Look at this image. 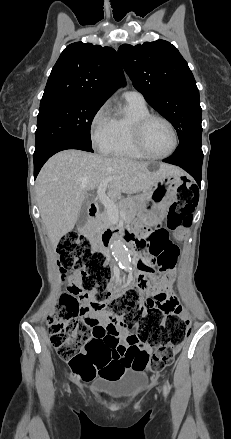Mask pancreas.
Returning a JSON list of instances; mask_svg holds the SVG:
<instances>
[{"instance_id":"cf45deb5","label":"pancreas","mask_w":231,"mask_h":439,"mask_svg":"<svg viewBox=\"0 0 231 439\" xmlns=\"http://www.w3.org/2000/svg\"><path fill=\"white\" fill-rule=\"evenodd\" d=\"M117 207L122 214H125L124 221L131 222L136 216L135 203L132 198H120L117 202ZM100 226L106 227L112 223L107 209L98 218Z\"/></svg>"}]
</instances>
